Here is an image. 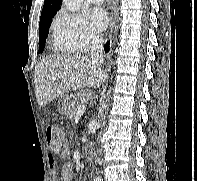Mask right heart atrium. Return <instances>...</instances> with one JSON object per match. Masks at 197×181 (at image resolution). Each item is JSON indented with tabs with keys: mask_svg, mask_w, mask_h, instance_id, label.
Here are the masks:
<instances>
[{
	"mask_svg": "<svg viewBox=\"0 0 197 181\" xmlns=\"http://www.w3.org/2000/svg\"><path fill=\"white\" fill-rule=\"evenodd\" d=\"M55 24L77 52H87L100 42V35L80 13L61 9L56 17Z\"/></svg>",
	"mask_w": 197,
	"mask_h": 181,
	"instance_id": "1",
	"label": "right heart atrium"
}]
</instances>
